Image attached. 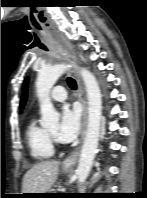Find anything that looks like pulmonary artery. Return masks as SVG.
<instances>
[{"instance_id": "1", "label": "pulmonary artery", "mask_w": 147, "mask_h": 198, "mask_svg": "<svg viewBox=\"0 0 147 198\" xmlns=\"http://www.w3.org/2000/svg\"><path fill=\"white\" fill-rule=\"evenodd\" d=\"M50 97L53 101L63 102L67 98L66 90L63 86H56L51 91Z\"/></svg>"}]
</instances>
